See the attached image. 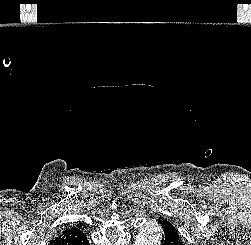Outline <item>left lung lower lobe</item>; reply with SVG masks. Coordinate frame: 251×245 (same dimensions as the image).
Segmentation results:
<instances>
[{"label": "left lung lower lobe", "mask_w": 251, "mask_h": 245, "mask_svg": "<svg viewBox=\"0 0 251 245\" xmlns=\"http://www.w3.org/2000/svg\"><path fill=\"white\" fill-rule=\"evenodd\" d=\"M158 225L161 229L160 242L162 245H184L179 233L170 222L161 219Z\"/></svg>", "instance_id": "obj_1"}]
</instances>
